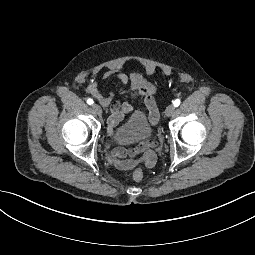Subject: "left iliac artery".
Listing matches in <instances>:
<instances>
[{
	"label": "left iliac artery",
	"mask_w": 255,
	"mask_h": 255,
	"mask_svg": "<svg viewBox=\"0 0 255 255\" xmlns=\"http://www.w3.org/2000/svg\"><path fill=\"white\" fill-rule=\"evenodd\" d=\"M174 106L177 107L180 105V100L179 99H176L174 102H173Z\"/></svg>",
	"instance_id": "left-iliac-artery-1"
}]
</instances>
